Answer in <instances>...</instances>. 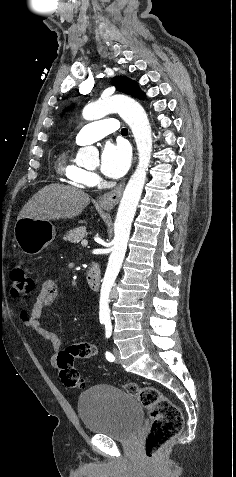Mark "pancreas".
Listing matches in <instances>:
<instances>
[{
  "mask_svg": "<svg viewBox=\"0 0 236 477\" xmlns=\"http://www.w3.org/2000/svg\"><path fill=\"white\" fill-rule=\"evenodd\" d=\"M88 235L86 227L81 226L78 228H75L73 230H70L63 236V239L65 241H68L70 243H79L83 238H85Z\"/></svg>",
  "mask_w": 236,
  "mask_h": 477,
  "instance_id": "cf45deb5",
  "label": "pancreas"
}]
</instances>
